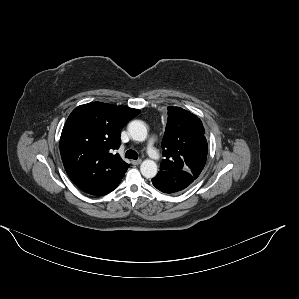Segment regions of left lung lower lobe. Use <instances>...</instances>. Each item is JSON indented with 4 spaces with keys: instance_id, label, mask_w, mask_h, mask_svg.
<instances>
[{
    "instance_id": "0a47b994",
    "label": "left lung lower lobe",
    "mask_w": 299,
    "mask_h": 299,
    "mask_svg": "<svg viewBox=\"0 0 299 299\" xmlns=\"http://www.w3.org/2000/svg\"><path fill=\"white\" fill-rule=\"evenodd\" d=\"M194 178L186 171L160 170L152 179L153 185L164 193H174L188 187Z\"/></svg>"
}]
</instances>
